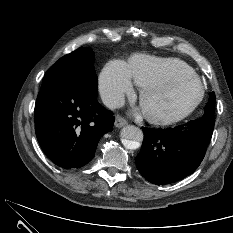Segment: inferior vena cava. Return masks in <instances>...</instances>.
Returning <instances> with one entry per match:
<instances>
[{
	"mask_svg": "<svg viewBox=\"0 0 233 233\" xmlns=\"http://www.w3.org/2000/svg\"><path fill=\"white\" fill-rule=\"evenodd\" d=\"M102 102L110 109L123 107L125 98L122 93H103L101 95Z\"/></svg>",
	"mask_w": 233,
	"mask_h": 233,
	"instance_id": "602c4592",
	"label": "inferior vena cava"
}]
</instances>
